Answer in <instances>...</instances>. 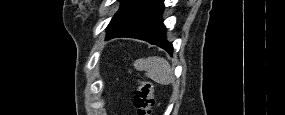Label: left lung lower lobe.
Returning <instances> with one entry per match:
<instances>
[{"mask_svg":"<svg viewBox=\"0 0 285 115\" xmlns=\"http://www.w3.org/2000/svg\"><path fill=\"white\" fill-rule=\"evenodd\" d=\"M162 0H129L112 18L106 39L130 37L158 45L172 54L173 46L166 40L161 20Z\"/></svg>","mask_w":285,"mask_h":115,"instance_id":"0a47b994","label":"left lung lower lobe"}]
</instances>
